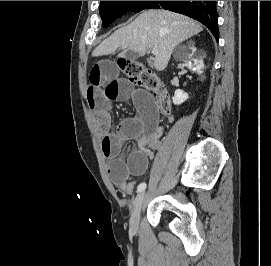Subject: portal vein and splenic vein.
Here are the masks:
<instances>
[{
  "label": "portal vein and splenic vein",
  "instance_id": "1",
  "mask_svg": "<svg viewBox=\"0 0 271 266\" xmlns=\"http://www.w3.org/2000/svg\"><path fill=\"white\" fill-rule=\"evenodd\" d=\"M152 54H153V55H157V54H158V49L153 48V49H152Z\"/></svg>",
  "mask_w": 271,
  "mask_h": 266
}]
</instances>
